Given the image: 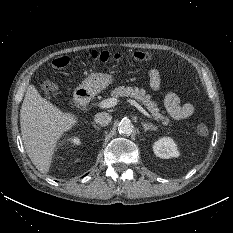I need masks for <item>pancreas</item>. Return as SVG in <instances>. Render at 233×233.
Segmentation results:
<instances>
[{"mask_svg": "<svg viewBox=\"0 0 233 233\" xmlns=\"http://www.w3.org/2000/svg\"><path fill=\"white\" fill-rule=\"evenodd\" d=\"M112 96L113 97H123V96H127V97H132L135 98L137 101L141 102L142 105H144L151 113L152 116L156 119V120H160L162 121V124L167 126H171L169 124V118L163 116L160 112H159V108L157 107V103L151 100V96L150 95H146V92L144 89H139V88H133V87H124V86H120L118 88H115L112 91Z\"/></svg>", "mask_w": 233, "mask_h": 233, "instance_id": "obj_1", "label": "pancreas"}]
</instances>
